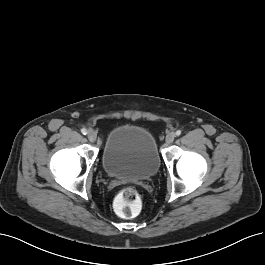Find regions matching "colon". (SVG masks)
<instances>
[{"label": "colon", "instance_id": "1", "mask_svg": "<svg viewBox=\"0 0 265 265\" xmlns=\"http://www.w3.org/2000/svg\"><path fill=\"white\" fill-rule=\"evenodd\" d=\"M116 212L124 218H133L141 208V199L138 192L131 187L123 188L115 198Z\"/></svg>", "mask_w": 265, "mask_h": 265}]
</instances>
